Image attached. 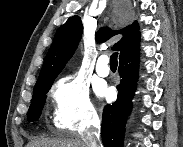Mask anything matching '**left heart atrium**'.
I'll return each mask as SVG.
<instances>
[{"instance_id": "obj_1", "label": "left heart atrium", "mask_w": 183, "mask_h": 147, "mask_svg": "<svg viewBox=\"0 0 183 147\" xmlns=\"http://www.w3.org/2000/svg\"><path fill=\"white\" fill-rule=\"evenodd\" d=\"M96 91H97L98 95H100V96H105L109 93L108 88L103 84L99 85L97 87Z\"/></svg>"}]
</instances>
